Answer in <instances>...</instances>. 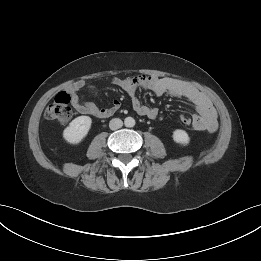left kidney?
Returning a JSON list of instances; mask_svg holds the SVG:
<instances>
[{"label":"left kidney","instance_id":"1","mask_svg":"<svg viewBox=\"0 0 261 261\" xmlns=\"http://www.w3.org/2000/svg\"><path fill=\"white\" fill-rule=\"evenodd\" d=\"M173 140L176 143H179L181 145H187L189 143V141H190V138H189V136H188L186 131L181 130V129H176L173 132Z\"/></svg>","mask_w":261,"mask_h":261}]
</instances>
